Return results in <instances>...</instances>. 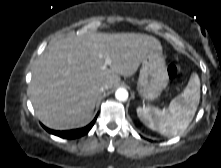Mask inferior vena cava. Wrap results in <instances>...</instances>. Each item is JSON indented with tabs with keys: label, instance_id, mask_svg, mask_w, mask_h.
I'll list each match as a JSON object with an SVG mask.
<instances>
[{
	"label": "inferior vena cava",
	"instance_id": "inferior-vena-cava-1",
	"mask_svg": "<svg viewBox=\"0 0 221 168\" xmlns=\"http://www.w3.org/2000/svg\"><path fill=\"white\" fill-rule=\"evenodd\" d=\"M106 89H108V85L107 84H105V85L100 87V91L101 92L105 91Z\"/></svg>",
	"mask_w": 221,
	"mask_h": 168
}]
</instances>
